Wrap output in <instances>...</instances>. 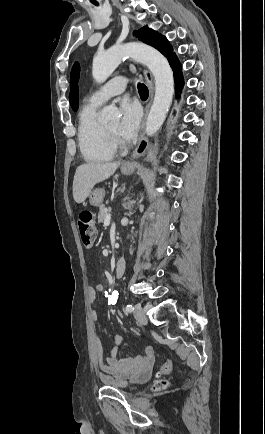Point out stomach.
<instances>
[{
	"mask_svg": "<svg viewBox=\"0 0 265 434\" xmlns=\"http://www.w3.org/2000/svg\"><path fill=\"white\" fill-rule=\"evenodd\" d=\"M134 170V166L132 168H125V166H122L121 172L122 174H126V176H129V174H132ZM105 196V190L103 188H96V190H92L89 194V202L91 206H101Z\"/></svg>",
	"mask_w": 265,
	"mask_h": 434,
	"instance_id": "0dacf381",
	"label": "stomach"
}]
</instances>
